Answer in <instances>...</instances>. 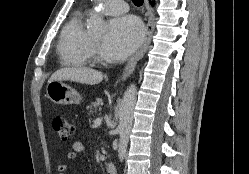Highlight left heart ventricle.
Segmentation results:
<instances>
[{"label": "left heart ventricle", "mask_w": 249, "mask_h": 174, "mask_svg": "<svg viewBox=\"0 0 249 174\" xmlns=\"http://www.w3.org/2000/svg\"><path fill=\"white\" fill-rule=\"evenodd\" d=\"M104 41H105L104 36L93 38V42L96 44L99 54L102 55L103 57L104 55L102 51V46H103Z\"/></svg>", "instance_id": "obj_1"}]
</instances>
